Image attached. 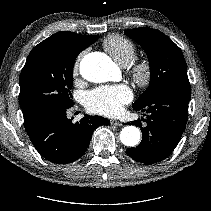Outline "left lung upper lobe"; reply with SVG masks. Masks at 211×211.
I'll return each mask as SVG.
<instances>
[{
  "label": "left lung upper lobe",
  "instance_id": "1",
  "mask_svg": "<svg viewBox=\"0 0 211 211\" xmlns=\"http://www.w3.org/2000/svg\"><path fill=\"white\" fill-rule=\"evenodd\" d=\"M125 34L139 43L150 62L149 87L133 107L142 106L170 88L190 86L182 51L169 37L147 27L129 29Z\"/></svg>",
  "mask_w": 211,
  "mask_h": 211
}]
</instances>
